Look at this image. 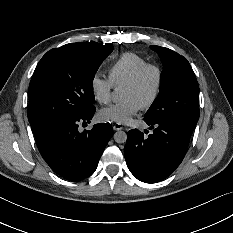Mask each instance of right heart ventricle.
Instances as JSON below:
<instances>
[{"instance_id": "right-heart-ventricle-1", "label": "right heart ventricle", "mask_w": 233, "mask_h": 233, "mask_svg": "<svg viewBox=\"0 0 233 233\" xmlns=\"http://www.w3.org/2000/svg\"><path fill=\"white\" fill-rule=\"evenodd\" d=\"M145 58L134 52L119 55L108 68V79L114 87L122 86L141 66Z\"/></svg>"}]
</instances>
